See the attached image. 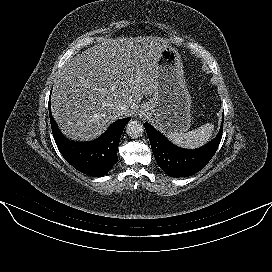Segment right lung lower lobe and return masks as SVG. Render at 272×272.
Listing matches in <instances>:
<instances>
[{
	"label": "right lung lower lobe",
	"mask_w": 272,
	"mask_h": 272,
	"mask_svg": "<svg viewBox=\"0 0 272 272\" xmlns=\"http://www.w3.org/2000/svg\"><path fill=\"white\" fill-rule=\"evenodd\" d=\"M49 116L56 145L65 160L75 169L86 175L103 176L117 162L120 137L131 118L114 122L102 136L94 141L73 142L60 133L50 109Z\"/></svg>",
	"instance_id": "1"
}]
</instances>
